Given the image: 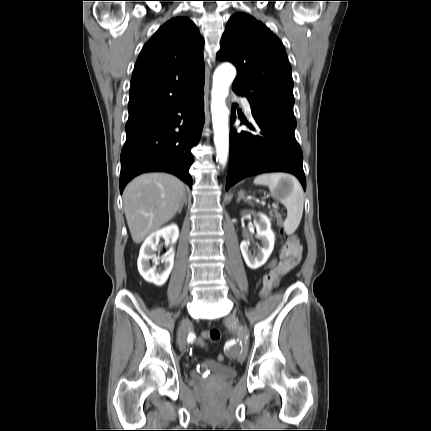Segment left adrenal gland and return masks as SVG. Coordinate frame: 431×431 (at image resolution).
<instances>
[{
    "label": "left adrenal gland",
    "instance_id": "left-adrenal-gland-1",
    "mask_svg": "<svg viewBox=\"0 0 431 431\" xmlns=\"http://www.w3.org/2000/svg\"><path fill=\"white\" fill-rule=\"evenodd\" d=\"M240 200H244L245 202L250 203V201L246 198L244 191H242V190L238 194L237 202H239Z\"/></svg>",
    "mask_w": 431,
    "mask_h": 431
}]
</instances>
